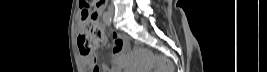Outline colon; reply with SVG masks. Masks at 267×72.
<instances>
[{
  "label": "colon",
  "mask_w": 267,
  "mask_h": 72,
  "mask_svg": "<svg viewBox=\"0 0 267 72\" xmlns=\"http://www.w3.org/2000/svg\"><path fill=\"white\" fill-rule=\"evenodd\" d=\"M105 2L106 0H81L82 20L90 34V38L82 35L78 39V46L83 54L92 53L94 45L102 43L106 38L105 31L98 23V7ZM95 69L97 70L98 68L96 67ZM161 72H172L171 63L168 61L163 62Z\"/></svg>",
  "instance_id": "obj_1"
}]
</instances>
